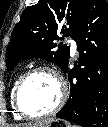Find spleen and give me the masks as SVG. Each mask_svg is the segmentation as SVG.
Listing matches in <instances>:
<instances>
[{"instance_id": "spleen-1", "label": "spleen", "mask_w": 108, "mask_h": 127, "mask_svg": "<svg viewBox=\"0 0 108 127\" xmlns=\"http://www.w3.org/2000/svg\"><path fill=\"white\" fill-rule=\"evenodd\" d=\"M73 127H79L78 125H74Z\"/></svg>"}]
</instances>
